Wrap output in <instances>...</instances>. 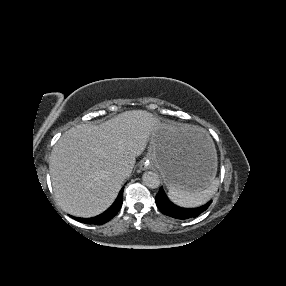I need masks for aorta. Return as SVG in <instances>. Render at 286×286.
<instances>
[{"label": "aorta", "instance_id": "762f6f07", "mask_svg": "<svg viewBox=\"0 0 286 286\" xmlns=\"http://www.w3.org/2000/svg\"><path fill=\"white\" fill-rule=\"evenodd\" d=\"M142 180L144 185L151 189H156L160 185L159 176L153 171L145 172L142 176Z\"/></svg>", "mask_w": 286, "mask_h": 286}]
</instances>
